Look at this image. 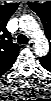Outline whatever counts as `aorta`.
Segmentation results:
<instances>
[{
  "label": "aorta",
  "instance_id": "aorta-1",
  "mask_svg": "<svg viewBox=\"0 0 51 101\" xmlns=\"http://www.w3.org/2000/svg\"><path fill=\"white\" fill-rule=\"evenodd\" d=\"M19 27L22 31L35 39V53L38 56L46 55L49 44L36 20L32 16L23 15L19 20Z\"/></svg>",
  "mask_w": 51,
  "mask_h": 101
}]
</instances>
